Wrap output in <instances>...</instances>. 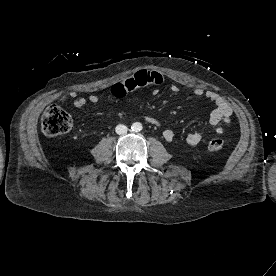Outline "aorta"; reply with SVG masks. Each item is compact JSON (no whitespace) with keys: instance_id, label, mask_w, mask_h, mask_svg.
Here are the masks:
<instances>
[{"instance_id":"762f6f07","label":"aorta","mask_w":276,"mask_h":276,"mask_svg":"<svg viewBox=\"0 0 276 276\" xmlns=\"http://www.w3.org/2000/svg\"><path fill=\"white\" fill-rule=\"evenodd\" d=\"M132 130L135 132H139L142 130V124L140 122H135L132 124Z\"/></svg>"}]
</instances>
